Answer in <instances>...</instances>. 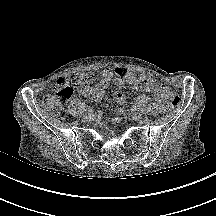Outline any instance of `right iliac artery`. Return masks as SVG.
Here are the masks:
<instances>
[{
  "mask_svg": "<svg viewBox=\"0 0 216 216\" xmlns=\"http://www.w3.org/2000/svg\"><path fill=\"white\" fill-rule=\"evenodd\" d=\"M86 112L89 113V114H93V112H94L93 107H90V106H89V107L86 109Z\"/></svg>",
  "mask_w": 216,
  "mask_h": 216,
  "instance_id": "obj_1",
  "label": "right iliac artery"
}]
</instances>
